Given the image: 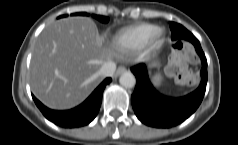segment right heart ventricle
Returning a JSON list of instances; mask_svg holds the SVG:
<instances>
[{"instance_id": "e07e8e85", "label": "right heart ventricle", "mask_w": 238, "mask_h": 145, "mask_svg": "<svg viewBox=\"0 0 238 145\" xmlns=\"http://www.w3.org/2000/svg\"><path fill=\"white\" fill-rule=\"evenodd\" d=\"M156 28L150 23L129 26L113 37V45L121 53L137 51L146 46Z\"/></svg>"}]
</instances>
